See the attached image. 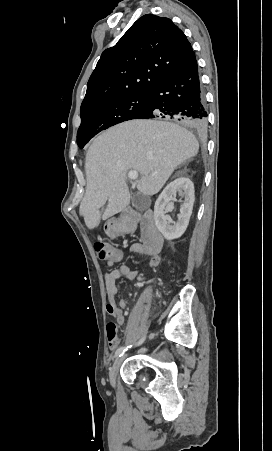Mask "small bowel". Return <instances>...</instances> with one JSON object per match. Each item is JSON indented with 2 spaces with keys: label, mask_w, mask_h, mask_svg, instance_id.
I'll return each mask as SVG.
<instances>
[{
  "label": "small bowel",
  "mask_w": 272,
  "mask_h": 451,
  "mask_svg": "<svg viewBox=\"0 0 272 451\" xmlns=\"http://www.w3.org/2000/svg\"><path fill=\"white\" fill-rule=\"evenodd\" d=\"M135 250L143 251L142 247L135 246ZM149 267L156 269L161 261L159 252L156 254H149ZM122 259V253H118L115 257L106 261L107 267H113L118 261ZM139 275V271L131 270L127 265H120L119 267L106 272L104 276L105 289L107 294L106 311L111 315L119 326L125 324V316L123 310L127 307V302L124 299L118 300V287L116 281L121 278L134 279Z\"/></svg>",
  "instance_id": "obj_1"
}]
</instances>
